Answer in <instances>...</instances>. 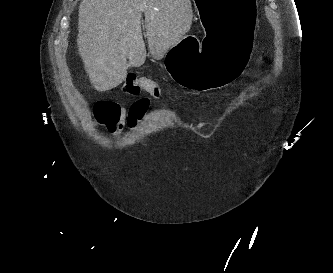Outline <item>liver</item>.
<instances>
[{
  "instance_id": "liver-1",
  "label": "liver",
  "mask_w": 333,
  "mask_h": 273,
  "mask_svg": "<svg viewBox=\"0 0 333 273\" xmlns=\"http://www.w3.org/2000/svg\"><path fill=\"white\" fill-rule=\"evenodd\" d=\"M152 57L160 60L190 30V0H82L78 51L93 87L104 92L120 85L129 65L146 60L141 17Z\"/></svg>"
}]
</instances>
